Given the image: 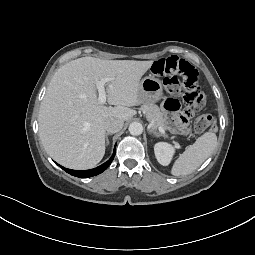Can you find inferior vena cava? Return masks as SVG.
I'll return each instance as SVG.
<instances>
[{
	"label": "inferior vena cava",
	"mask_w": 255,
	"mask_h": 255,
	"mask_svg": "<svg viewBox=\"0 0 255 255\" xmlns=\"http://www.w3.org/2000/svg\"><path fill=\"white\" fill-rule=\"evenodd\" d=\"M123 125V120L117 118H109L105 122V129L108 133H117L122 129Z\"/></svg>",
	"instance_id": "inferior-vena-cava-1"
}]
</instances>
